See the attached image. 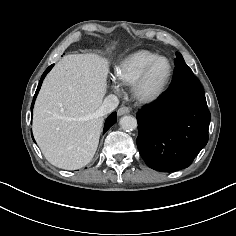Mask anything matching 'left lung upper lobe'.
Segmentation results:
<instances>
[{
	"instance_id": "obj_1",
	"label": "left lung upper lobe",
	"mask_w": 236,
	"mask_h": 236,
	"mask_svg": "<svg viewBox=\"0 0 236 236\" xmlns=\"http://www.w3.org/2000/svg\"><path fill=\"white\" fill-rule=\"evenodd\" d=\"M175 65L185 64V61L180 53H176V59L174 60Z\"/></svg>"
}]
</instances>
